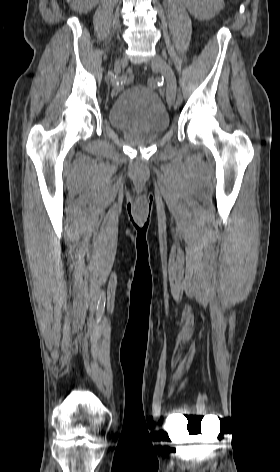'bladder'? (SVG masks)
I'll return each mask as SVG.
<instances>
[{"mask_svg":"<svg viewBox=\"0 0 280 472\" xmlns=\"http://www.w3.org/2000/svg\"><path fill=\"white\" fill-rule=\"evenodd\" d=\"M111 125L124 131L162 133L169 126V114L153 90L133 85L123 90L108 111Z\"/></svg>","mask_w":280,"mask_h":472,"instance_id":"1","label":"bladder"}]
</instances>
